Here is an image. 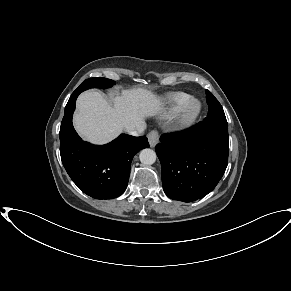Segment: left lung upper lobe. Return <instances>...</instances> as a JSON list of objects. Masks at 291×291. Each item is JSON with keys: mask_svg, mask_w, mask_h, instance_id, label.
<instances>
[{"mask_svg": "<svg viewBox=\"0 0 291 291\" xmlns=\"http://www.w3.org/2000/svg\"><path fill=\"white\" fill-rule=\"evenodd\" d=\"M206 100L209 106L207 114L208 117L225 116L221 104L208 90H206Z\"/></svg>", "mask_w": 291, "mask_h": 291, "instance_id": "obj_1", "label": "left lung upper lobe"}]
</instances>
